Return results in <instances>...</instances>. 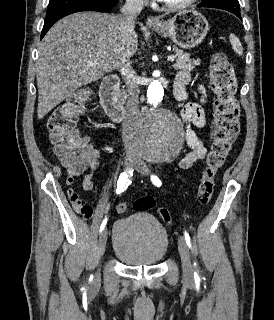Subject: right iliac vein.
I'll list each match as a JSON object with an SVG mask.
<instances>
[{"label": "right iliac vein", "instance_id": "right-iliac-vein-1", "mask_svg": "<svg viewBox=\"0 0 274 320\" xmlns=\"http://www.w3.org/2000/svg\"><path fill=\"white\" fill-rule=\"evenodd\" d=\"M137 161L133 158H126L124 162V166L126 170H130L132 167L136 165ZM107 237H108V232L107 229H104L100 235L99 242H98V249H97V258L100 259L106 248V243H107ZM100 272L97 271L93 280V286L98 287L100 284Z\"/></svg>", "mask_w": 274, "mask_h": 320}]
</instances>
